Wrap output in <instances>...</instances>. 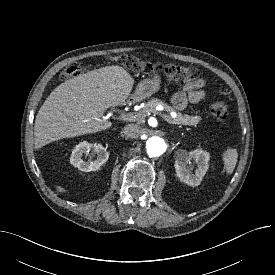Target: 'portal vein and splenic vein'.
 <instances>
[{"mask_svg":"<svg viewBox=\"0 0 275 275\" xmlns=\"http://www.w3.org/2000/svg\"><path fill=\"white\" fill-rule=\"evenodd\" d=\"M161 117L163 118V119H165L168 123H170V124H174V122H172L171 121V119L168 117V116H166V115H161ZM137 118V115H133V114H122L120 117H119V119L120 120H127V121H131V120H134V119H136Z\"/></svg>","mask_w":275,"mask_h":275,"instance_id":"obj_1","label":"portal vein and splenic vein"}]
</instances>
